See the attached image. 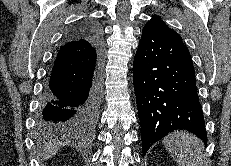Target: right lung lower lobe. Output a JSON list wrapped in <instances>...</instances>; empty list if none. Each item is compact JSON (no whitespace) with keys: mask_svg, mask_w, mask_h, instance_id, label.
<instances>
[{"mask_svg":"<svg viewBox=\"0 0 231 166\" xmlns=\"http://www.w3.org/2000/svg\"><path fill=\"white\" fill-rule=\"evenodd\" d=\"M79 25L84 26L81 37L72 40L67 36L58 48L40 98L37 127L45 135H80L90 131L98 118L101 30L94 21Z\"/></svg>","mask_w":231,"mask_h":166,"instance_id":"98d812e1","label":"right lung lower lobe"}]
</instances>
